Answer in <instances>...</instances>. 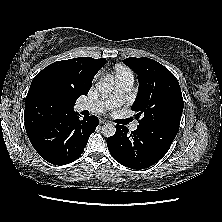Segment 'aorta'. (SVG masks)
Returning a JSON list of instances; mask_svg holds the SVG:
<instances>
[{
	"label": "aorta",
	"mask_w": 222,
	"mask_h": 222,
	"mask_svg": "<svg viewBox=\"0 0 222 222\" xmlns=\"http://www.w3.org/2000/svg\"><path fill=\"white\" fill-rule=\"evenodd\" d=\"M109 79L102 80L96 83V88L101 94H110L113 91L114 87L111 82L112 78ZM115 132L116 128L112 123H106L102 126V134L105 137H111L115 134Z\"/></svg>",
	"instance_id": "aorta-1"
}]
</instances>
